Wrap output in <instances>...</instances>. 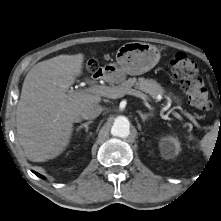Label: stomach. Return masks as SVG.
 I'll return each mask as SVG.
<instances>
[{"mask_svg": "<svg viewBox=\"0 0 221 221\" xmlns=\"http://www.w3.org/2000/svg\"><path fill=\"white\" fill-rule=\"evenodd\" d=\"M160 60L159 49L149 43L129 42L116 53V63L106 67L114 82H121L125 75H141L151 70Z\"/></svg>", "mask_w": 221, "mask_h": 221, "instance_id": "1", "label": "stomach"}]
</instances>
